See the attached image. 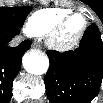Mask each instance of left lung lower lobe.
I'll list each match as a JSON object with an SVG mask.
<instances>
[{"instance_id":"1","label":"left lung lower lobe","mask_w":103,"mask_h":103,"mask_svg":"<svg viewBox=\"0 0 103 103\" xmlns=\"http://www.w3.org/2000/svg\"><path fill=\"white\" fill-rule=\"evenodd\" d=\"M47 55L50 68L44 83L51 103H89L98 95L103 80V41L95 24L87 28L75 51L49 50Z\"/></svg>"}]
</instances>
